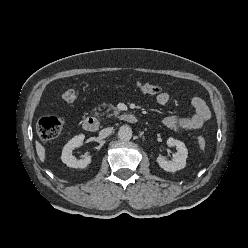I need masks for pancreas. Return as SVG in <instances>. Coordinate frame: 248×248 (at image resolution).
<instances>
[{
	"label": "pancreas",
	"instance_id": "pancreas-1",
	"mask_svg": "<svg viewBox=\"0 0 248 248\" xmlns=\"http://www.w3.org/2000/svg\"><path fill=\"white\" fill-rule=\"evenodd\" d=\"M114 108H115V107L110 106V108H109V109H107V111H106V112H109V111H110V109H114ZM112 115H114V116L119 115V111H118V110H115L113 114H109V116H112Z\"/></svg>",
	"mask_w": 248,
	"mask_h": 248
}]
</instances>
